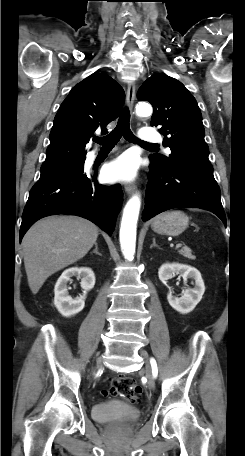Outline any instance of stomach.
I'll return each mask as SVG.
<instances>
[{"mask_svg":"<svg viewBox=\"0 0 245 456\" xmlns=\"http://www.w3.org/2000/svg\"><path fill=\"white\" fill-rule=\"evenodd\" d=\"M189 225V217L182 211L174 210L161 213L153 220L152 230L158 234L177 236Z\"/></svg>","mask_w":245,"mask_h":456,"instance_id":"1","label":"stomach"}]
</instances>
